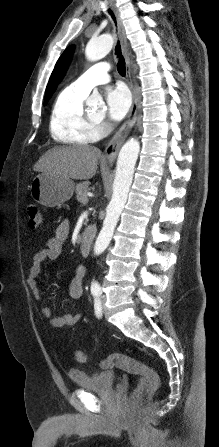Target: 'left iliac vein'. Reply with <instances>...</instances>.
<instances>
[{
    "instance_id": "left-iliac-vein-1",
    "label": "left iliac vein",
    "mask_w": 219,
    "mask_h": 447,
    "mask_svg": "<svg viewBox=\"0 0 219 447\" xmlns=\"http://www.w3.org/2000/svg\"><path fill=\"white\" fill-rule=\"evenodd\" d=\"M104 301H105V298H104V296H103V297H102L103 307H104Z\"/></svg>"
}]
</instances>
